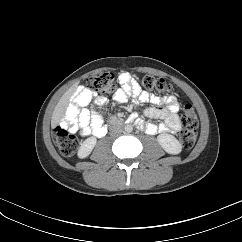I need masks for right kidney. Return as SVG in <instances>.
Returning <instances> with one entry per match:
<instances>
[{
  "label": "right kidney",
  "instance_id": "right-kidney-1",
  "mask_svg": "<svg viewBox=\"0 0 242 242\" xmlns=\"http://www.w3.org/2000/svg\"><path fill=\"white\" fill-rule=\"evenodd\" d=\"M96 145V138L90 137L87 138L80 146L78 150V157L85 158L87 157L93 150L94 146Z\"/></svg>",
  "mask_w": 242,
  "mask_h": 242
}]
</instances>
